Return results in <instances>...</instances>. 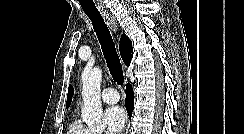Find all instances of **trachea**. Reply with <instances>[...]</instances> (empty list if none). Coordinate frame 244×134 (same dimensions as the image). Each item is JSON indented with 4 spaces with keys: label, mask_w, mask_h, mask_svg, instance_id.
<instances>
[{
    "label": "trachea",
    "mask_w": 244,
    "mask_h": 134,
    "mask_svg": "<svg viewBox=\"0 0 244 134\" xmlns=\"http://www.w3.org/2000/svg\"><path fill=\"white\" fill-rule=\"evenodd\" d=\"M86 15L91 20L94 31L99 39L111 76L118 85H122L124 82L122 65L116 52L114 41L103 17L100 13L86 12Z\"/></svg>",
    "instance_id": "trachea-1"
}]
</instances>
